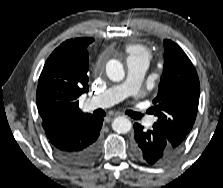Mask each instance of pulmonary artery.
Listing matches in <instances>:
<instances>
[{
    "label": "pulmonary artery",
    "instance_id": "pulmonary-artery-1",
    "mask_svg": "<svg viewBox=\"0 0 223 188\" xmlns=\"http://www.w3.org/2000/svg\"><path fill=\"white\" fill-rule=\"evenodd\" d=\"M126 65V79L122 83L108 88L101 94L88 98L86 100L87 109L106 108L127 97L137 100V92L147 71L148 61L143 58H128ZM153 121L154 119H149L147 121L148 125H151Z\"/></svg>",
    "mask_w": 223,
    "mask_h": 188
}]
</instances>
